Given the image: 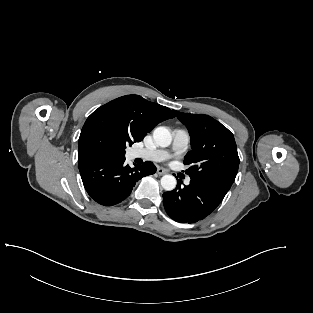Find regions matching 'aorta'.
<instances>
[{
    "instance_id": "obj_1",
    "label": "aorta",
    "mask_w": 313,
    "mask_h": 313,
    "mask_svg": "<svg viewBox=\"0 0 313 313\" xmlns=\"http://www.w3.org/2000/svg\"><path fill=\"white\" fill-rule=\"evenodd\" d=\"M153 139L160 147H167L172 142L170 131L166 127H157L153 132ZM176 178L172 175H164L161 178V186L166 191H171L176 187Z\"/></svg>"
}]
</instances>
